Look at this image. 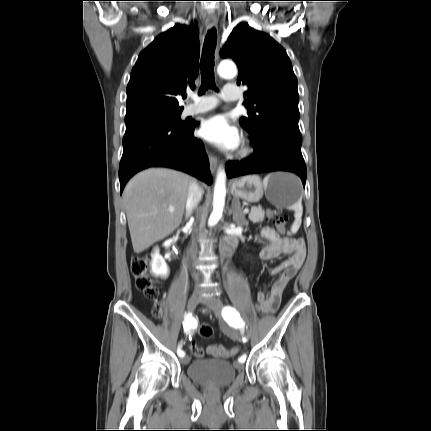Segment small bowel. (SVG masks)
I'll return each instance as SVG.
<instances>
[{"label":"small bowel","mask_w":431,"mask_h":431,"mask_svg":"<svg viewBox=\"0 0 431 431\" xmlns=\"http://www.w3.org/2000/svg\"><path fill=\"white\" fill-rule=\"evenodd\" d=\"M261 236L268 241L261 252V257L264 260H273L281 255L289 256L284 262L271 269L272 274H280L271 289L268 292L256 294V300L261 305L262 313H269L278 308L286 286L301 268L305 259V246L302 240L281 237L270 227H264L261 230ZM203 350L204 355L226 358V353L230 349L222 345L212 344Z\"/></svg>","instance_id":"1"}]
</instances>
